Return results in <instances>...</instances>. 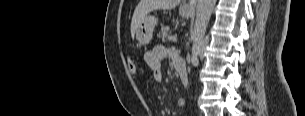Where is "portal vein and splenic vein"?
Returning <instances> with one entry per match:
<instances>
[{
	"mask_svg": "<svg viewBox=\"0 0 305 116\" xmlns=\"http://www.w3.org/2000/svg\"><path fill=\"white\" fill-rule=\"evenodd\" d=\"M169 40L173 41V42H176L177 41V37L176 36H170Z\"/></svg>",
	"mask_w": 305,
	"mask_h": 116,
	"instance_id": "portal-vein-and-splenic-vein-1",
	"label": "portal vein and splenic vein"
}]
</instances>
